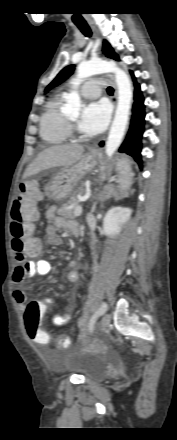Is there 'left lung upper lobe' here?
<instances>
[{
    "mask_svg": "<svg viewBox=\"0 0 177 440\" xmlns=\"http://www.w3.org/2000/svg\"><path fill=\"white\" fill-rule=\"evenodd\" d=\"M103 52L107 57L115 60H119L118 55L114 52L113 48L106 40H104L103 42ZM73 71H74L73 65L67 66L64 69H62L60 73L57 75V77L46 87L45 92H48L53 87L59 85L61 82L66 80L73 73Z\"/></svg>",
    "mask_w": 177,
    "mask_h": 440,
    "instance_id": "1",
    "label": "left lung upper lobe"
}]
</instances>
